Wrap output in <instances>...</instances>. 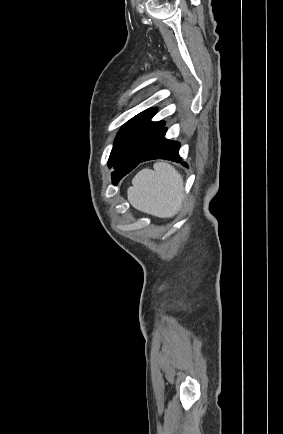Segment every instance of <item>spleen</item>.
Here are the masks:
<instances>
[{
    "instance_id": "3e777b00",
    "label": "spleen",
    "mask_w": 283,
    "mask_h": 434,
    "mask_svg": "<svg viewBox=\"0 0 283 434\" xmlns=\"http://www.w3.org/2000/svg\"><path fill=\"white\" fill-rule=\"evenodd\" d=\"M153 168L143 169L135 175L127 191L128 200L139 211L160 218H171L181 208L183 178L165 162L155 163Z\"/></svg>"
}]
</instances>
